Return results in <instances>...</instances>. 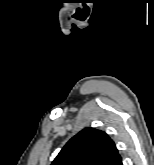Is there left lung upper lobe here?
Listing matches in <instances>:
<instances>
[{"mask_svg": "<svg viewBox=\"0 0 154 165\" xmlns=\"http://www.w3.org/2000/svg\"><path fill=\"white\" fill-rule=\"evenodd\" d=\"M121 157L108 135L85 128L71 138L51 165H119Z\"/></svg>", "mask_w": 154, "mask_h": 165, "instance_id": "1", "label": "left lung upper lobe"}]
</instances>
